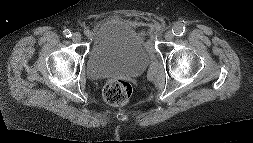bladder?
<instances>
[{
  "label": "bladder",
  "mask_w": 253,
  "mask_h": 143,
  "mask_svg": "<svg viewBox=\"0 0 253 143\" xmlns=\"http://www.w3.org/2000/svg\"><path fill=\"white\" fill-rule=\"evenodd\" d=\"M90 41L87 73L92 79L135 77L147 69L152 59L145 35L121 17L100 20Z\"/></svg>",
  "instance_id": "obj_1"
}]
</instances>
